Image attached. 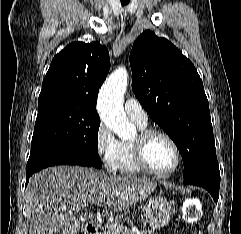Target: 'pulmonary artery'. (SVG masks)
Returning a JSON list of instances; mask_svg holds the SVG:
<instances>
[{"label":"pulmonary artery","mask_w":241,"mask_h":234,"mask_svg":"<svg viewBox=\"0 0 241 234\" xmlns=\"http://www.w3.org/2000/svg\"><path fill=\"white\" fill-rule=\"evenodd\" d=\"M124 109L128 117L141 126H146L148 117L138 100L128 98L124 103Z\"/></svg>","instance_id":"1"}]
</instances>
